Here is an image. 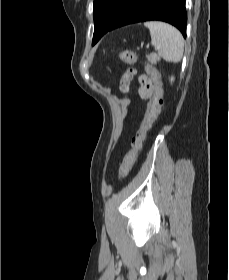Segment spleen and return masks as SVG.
<instances>
[{"instance_id": "3e777b00", "label": "spleen", "mask_w": 229, "mask_h": 280, "mask_svg": "<svg viewBox=\"0 0 229 280\" xmlns=\"http://www.w3.org/2000/svg\"><path fill=\"white\" fill-rule=\"evenodd\" d=\"M144 25L150 31L151 44L159 56L168 62H179L184 52V39L181 33L172 25L159 21H149Z\"/></svg>"}]
</instances>
